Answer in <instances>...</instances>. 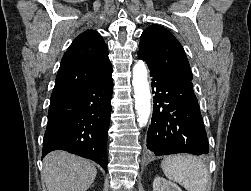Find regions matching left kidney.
<instances>
[{
	"label": "left kidney",
	"mask_w": 251,
	"mask_h": 191,
	"mask_svg": "<svg viewBox=\"0 0 251 191\" xmlns=\"http://www.w3.org/2000/svg\"><path fill=\"white\" fill-rule=\"evenodd\" d=\"M153 191H182V189L176 183L157 175L153 181Z\"/></svg>",
	"instance_id": "1"
}]
</instances>
